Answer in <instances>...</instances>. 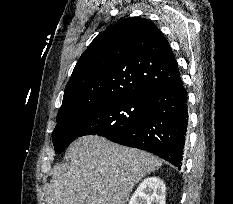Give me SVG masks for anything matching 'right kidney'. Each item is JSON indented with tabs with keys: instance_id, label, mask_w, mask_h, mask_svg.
Here are the masks:
<instances>
[{
	"instance_id": "obj_1",
	"label": "right kidney",
	"mask_w": 233,
	"mask_h": 204,
	"mask_svg": "<svg viewBox=\"0 0 233 204\" xmlns=\"http://www.w3.org/2000/svg\"><path fill=\"white\" fill-rule=\"evenodd\" d=\"M166 186L155 176L145 178L132 195L129 204H165Z\"/></svg>"
}]
</instances>
